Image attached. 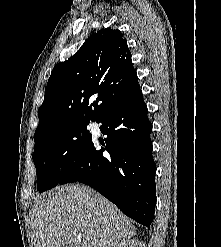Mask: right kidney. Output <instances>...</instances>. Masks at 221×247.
<instances>
[{
	"mask_svg": "<svg viewBox=\"0 0 221 247\" xmlns=\"http://www.w3.org/2000/svg\"><path fill=\"white\" fill-rule=\"evenodd\" d=\"M115 247H145V245L136 239H128L119 242Z\"/></svg>",
	"mask_w": 221,
	"mask_h": 247,
	"instance_id": "1",
	"label": "right kidney"
}]
</instances>
